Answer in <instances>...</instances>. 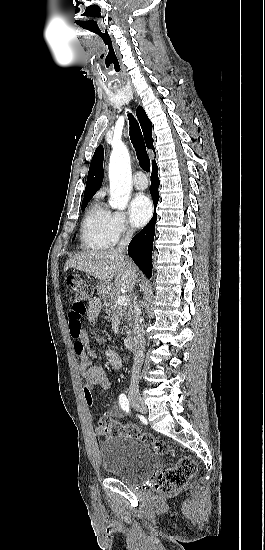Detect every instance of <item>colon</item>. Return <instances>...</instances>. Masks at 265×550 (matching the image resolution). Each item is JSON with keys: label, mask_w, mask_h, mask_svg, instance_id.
I'll list each match as a JSON object with an SVG mask.
<instances>
[{"label": "colon", "mask_w": 265, "mask_h": 550, "mask_svg": "<svg viewBox=\"0 0 265 550\" xmlns=\"http://www.w3.org/2000/svg\"><path fill=\"white\" fill-rule=\"evenodd\" d=\"M66 282L73 296V304L69 312L70 318L80 319L86 312V302L92 297L93 289L85 279L76 275H68ZM73 327L75 324L72 321L71 329ZM98 430L106 436L136 438L162 456L170 453V447L166 442L155 440L152 435L142 431L136 425L122 424L109 416H104L99 420ZM196 472L197 465L192 459L180 458L174 466L159 472L154 482L155 492L162 495L173 494L182 489Z\"/></svg>", "instance_id": "5ec220e1"}]
</instances>
